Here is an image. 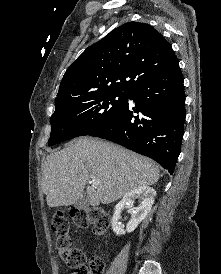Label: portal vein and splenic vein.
Segmentation results:
<instances>
[{
  "instance_id": "1",
  "label": "portal vein and splenic vein",
  "mask_w": 221,
  "mask_h": 274,
  "mask_svg": "<svg viewBox=\"0 0 221 274\" xmlns=\"http://www.w3.org/2000/svg\"><path fill=\"white\" fill-rule=\"evenodd\" d=\"M89 183L92 184L93 186H95V185H97L99 182L93 179V180H91Z\"/></svg>"
}]
</instances>
